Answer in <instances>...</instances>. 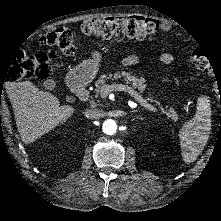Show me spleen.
I'll list each match as a JSON object with an SVG mask.
<instances>
[{"mask_svg": "<svg viewBox=\"0 0 221 221\" xmlns=\"http://www.w3.org/2000/svg\"><path fill=\"white\" fill-rule=\"evenodd\" d=\"M210 116L209 103L204 98H199L195 117L179 131L182 157L185 163L194 162L204 149L211 130Z\"/></svg>", "mask_w": 221, "mask_h": 221, "instance_id": "1", "label": "spleen"}]
</instances>
